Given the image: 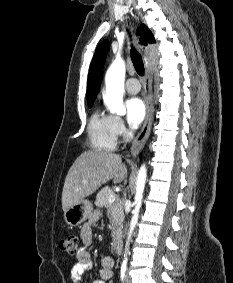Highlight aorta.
<instances>
[{
	"instance_id": "762f6f07",
	"label": "aorta",
	"mask_w": 233,
	"mask_h": 283,
	"mask_svg": "<svg viewBox=\"0 0 233 283\" xmlns=\"http://www.w3.org/2000/svg\"><path fill=\"white\" fill-rule=\"evenodd\" d=\"M126 66L123 59L117 57L110 67L108 68L105 75L106 91L103 94V100L109 111L117 115H125L126 108L123 104V93H124V79H125ZM147 177V169L145 165H142L139 169L137 180H136V195H135V208L133 210V216L130 223V230L128 232V246L131 234L137 224L139 211L142 205L143 192L145 188ZM127 250V248H126ZM127 257L124 254V263H126Z\"/></svg>"
}]
</instances>
